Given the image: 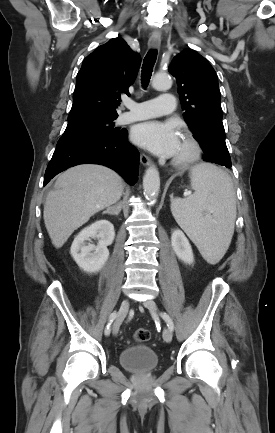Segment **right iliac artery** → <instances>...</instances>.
<instances>
[{"label":"right iliac artery","mask_w":275,"mask_h":433,"mask_svg":"<svg viewBox=\"0 0 275 433\" xmlns=\"http://www.w3.org/2000/svg\"><path fill=\"white\" fill-rule=\"evenodd\" d=\"M115 318H116V312L114 311L109 316L108 324H107V326L105 328V335H109L110 334V327H111V324H112V322L114 321Z\"/></svg>","instance_id":"1"}]
</instances>
